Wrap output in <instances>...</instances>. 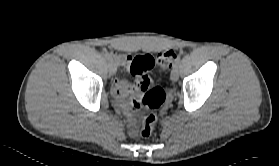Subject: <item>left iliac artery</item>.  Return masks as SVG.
Instances as JSON below:
<instances>
[{
	"label": "left iliac artery",
	"instance_id": "1",
	"mask_svg": "<svg viewBox=\"0 0 279 166\" xmlns=\"http://www.w3.org/2000/svg\"><path fill=\"white\" fill-rule=\"evenodd\" d=\"M179 62H180V58H179L178 60L175 61L173 67L178 66V65H179Z\"/></svg>",
	"mask_w": 279,
	"mask_h": 166
}]
</instances>
